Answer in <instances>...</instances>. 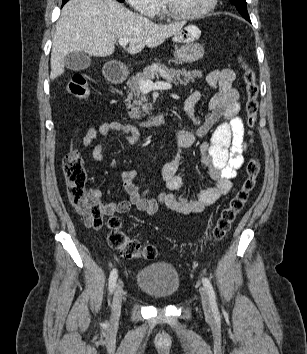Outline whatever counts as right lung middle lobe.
<instances>
[{
    "mask_svg": "<svg viewBox=\"0 0 307 354\" xmlns=\"http://www.w3.org/2000/svg\"><path fill=\"white\" fill-rule=\"evenodd\" d=\"M117 1H119V2H124V0H117Z\"/></svg>",
    "mask_w": 307,
    "mask_h": 354,
    "instance_id": "dd1d6c3e",
    "label": "right lung middle lobe"
}]
</instances>
